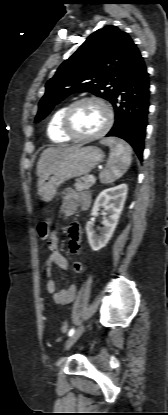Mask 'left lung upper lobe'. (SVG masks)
<instances>
[{"label": "left lung upper lobe", "mask_w": 168, "mask_h": 415, "mask_svg": "<svg viewBox=\"0 0 168 415\" xmlns=\"http://www.w3.org/2000/svg\"><path fill=\"white\" fill-rule=\"evenodd\" d=\"M140 52L118 27L108 25L92 33L46 83L35 122L41 121L69 95L90 92L111 102Z\"/></svg>", "instance_id": "1"}]
</instances>
